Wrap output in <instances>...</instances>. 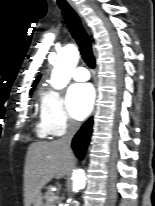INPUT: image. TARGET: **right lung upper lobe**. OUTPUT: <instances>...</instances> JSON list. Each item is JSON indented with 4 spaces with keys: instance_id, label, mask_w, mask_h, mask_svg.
Segmentation results:
<instances>
[{
    "instance_id": "cb5924a9",
    "label": "right lung upper lobe",
    "mask_w": 155,
    "mask_h": 206,
    "mask_svg": "<svg viewBox=\"0 0 155 206\" xmlns=\"http://www.w3.org/2000/svg\"><path fill=\"white\" fill-rule=\"evenodd\" d=\"M39 79H40V77H38V78L34 81V83H33V85H32L33 88L31 89V92H32L33 89L35 88V86H36V84L38 83Z\"/></svg>"
}]
</instances>
